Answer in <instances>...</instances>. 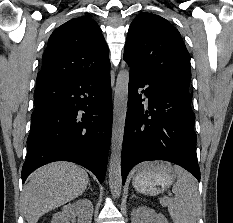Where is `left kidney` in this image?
I'll return each mask as SVG.
<instances>
[{
	"mask_svg": "<svg viewBox=\"0 0 233 223\" xmlns=\"http://www.w3.org/2000/svg\"><path fill=\"white\" fill-rule=\"evenodd\" d=\"M168 223L163 213H156L155 209L138 205L136 209L131 211V223Z\"/></svg>",
	"mask_w": 233,
	"mask_h": 223,
	"instance_id": "left-kidney-1",
	"label": "left kidney"
}]
</instances>
